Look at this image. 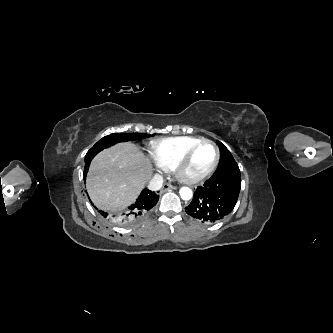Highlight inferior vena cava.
<instances>
[{
  "mask_svg": "<svg viewBox=\"0 0 333 333\" xmlns=\"http://www.w3.org/2000/svg\"><path fill=\"white\" fill-rule=\"evenodd\" d=\"M163 185V178L159 174H155L149 181L148 188L152 191H158Z\"/></svg>",
  "mask_w": 333,
  "mask_h": 333,
  "instance_id": "602c4592",
  "label": "inferior vena cava"
}]
</instances>
